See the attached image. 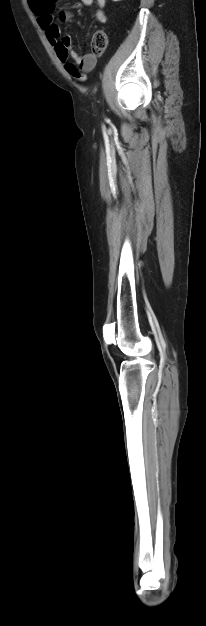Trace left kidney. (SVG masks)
<instances>
[{
  "mask_svg": "<svg viewBox=\"0 0 206 626\" xmlns=\"http://www.w3.org/2000/svg\"><path fill=\"white\" fill-rule=\"evenodd\" d=\"M112 1L117 2V1H121V0H112Z\"/></svg>",
  "mask_w": 206,
  "mask_h": 626,
  "instance_id": "obj_1",
  "label": "left kidney"
}]
</instances>
